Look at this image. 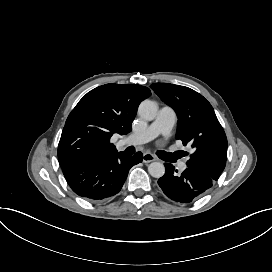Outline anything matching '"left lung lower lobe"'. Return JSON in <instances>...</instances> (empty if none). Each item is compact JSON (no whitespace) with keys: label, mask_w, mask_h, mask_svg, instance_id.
<instances>
[{"label":"left lung lower lobe","mask_w":272,"mask_h":272,"mask_svg":"<svg viewBox=\"0 0 272 272\" xmlns=\"http://www.w3.org/2000/svg\"><path fill=\"white\" fill-rule=\"evenodd\" d=\"M166 172L158 184L171 200L189 204L200 198L213 186L215 180L203 172L187 167L181 175L175 174L172 164L165 163Z\"/></svg>","instance_id":"obj_1"}]
</instances>
